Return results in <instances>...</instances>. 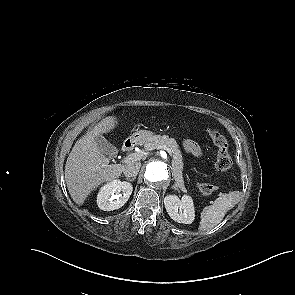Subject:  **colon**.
Returning a JSON list of instances; mask_svg holds the SVG:
<instances>
[{"label":"colon","mask_w":295,"mask_h":295,"mask_svg":"<svg viewBox=\"0 0 295 295\" xmlns=\"http://www.w3.org/2000/svg\"><path fill=\"white\" fill-rule=\"evenodd\" d=\"M210 135L217 147L216 168L219 171H227L232 165L229 143L226 137L218 130H211ZM199 190L205 195H210L217 190V186L211 182H202Z\"/></svg>","instance_id":"1"}]
</instances>
